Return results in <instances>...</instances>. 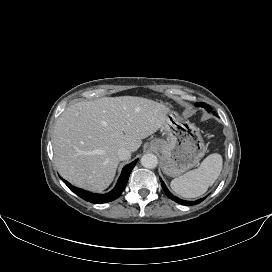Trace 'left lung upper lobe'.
<instances>
[{"label":"left lung upper lobe","instance_id":"5c2ea615","mask_svg":"<svg viewBox=\"0 0 272 272\" xmlns=\"http://www.w3.org/2000/svg\"><path fill=\"white\" fill-rule=\"evenodd\" d=\"M196 105H197V106L205 107V109L208 110V111H211V110H212V108H211L209 105L205 104V103H197ZM214 114H215V113H214Z\"/></svg>","mask_w":272,"mask_h":272}]
</instances>
